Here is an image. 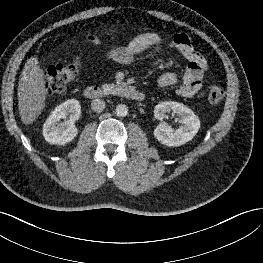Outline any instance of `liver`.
Returning a JSON list of instances; mask_svg holds the SVG:
<instances>
[{"instance_id": "1", "label": "liver", "mask_w": 263, "mask_h": 263, "mask_svg": "<svg viewBox=\"0 0 263 263\" xmlns=\"http://www.w3.org/2000/svg\"><path fill=\"white\" fill-rule=\"evenodd\" d=\"M45 77L37 56L27 60L18 83V109L21 121L32 124L41 114L46 100Z\"/></svg>"}]
</instances>
